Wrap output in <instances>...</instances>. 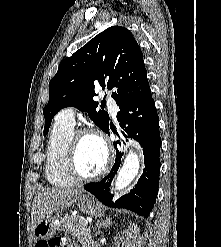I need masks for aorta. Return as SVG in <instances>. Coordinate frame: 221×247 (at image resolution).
<instances>
[{
  "label": "aorta",
  "instance_id": "762f6f07",
  "mask_svg": "<svg viewBox=\"0 0 221 247\" xmlns=\"http://www.w3.org/2000/svg\"><path fill=\"white\" fill-rule=\"evenodd\" d=\"M140 168L139 156L134 150H129L122 167L119 169L114 186L115 190H123L137 176Z\"/></svg>",
  "mask_w": 221,
  "mask_h": 247
}]
</instances>
